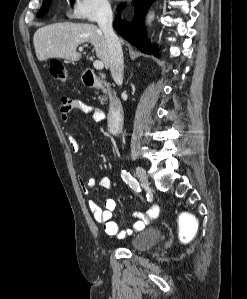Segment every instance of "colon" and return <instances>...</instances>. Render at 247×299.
Returning a JSON list of instances; mask_svg holds the SVG:
<instances>
[{
  "label": "colon",
  "instance_id": "obj_1",
  "mask_svg": "<svg viewBox=\"0 0 247 299\" xmlns=\"http://www.w3.org/2000/svg\"><path fill=\"white\" fill-rule=\"evenodd\" d=\"M50 73L54 78L58 80L64 81L67 79V70L59 61H51ZM179 224L181 239L183 241L189 240L194 235L197 228L195 219L188 214H182L179 218Z\"/></svg>",
  "mask_w": 247,
  "mask_h": 299
}]
</instances>
